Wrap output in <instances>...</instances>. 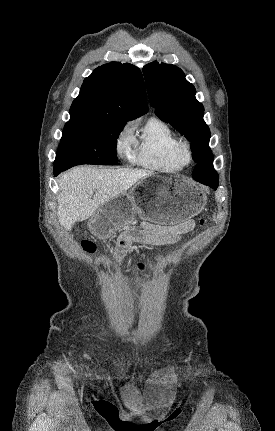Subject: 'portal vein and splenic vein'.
Listing matches in <instances>:
<instances>
[{"instance_id":"obj_1","label":"portal vein and splenic vein","mask_w":275,"mask_h":431,"mask_svg":"<svg viewBox=\"0 0 275 431\" xmlns=\"http://www.w3.org/2000/svg\"><path fill=\"white\" fill-rule=\"evenodd\" d=\"M89 194H90V195H93V194H94V192H93V191H90V192H89Z\"/></svg>"}]
</instances>
